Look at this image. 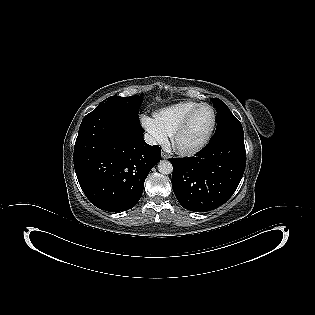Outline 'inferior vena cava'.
<instances>
[{
  "label": "inferior vena cava",
  "instance_id": "inferior-vena-cava-1",
  "mask_svg": "<svg viewBox=\"0 0 315 315\" xmlns=\"http://www.w3.org/2000/svg\"><path fill=\"white\" fill-rule=\"evenodd\" d=\"M144 139L149 145H155L157 143L155 138L148 133L144 135Z\"/></svg>",
  "mask_w": 315,
  "mask_h": 315
}]
</instances>
